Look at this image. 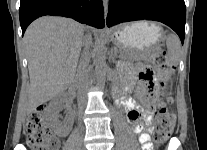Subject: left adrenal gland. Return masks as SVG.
<instances>
[{
  "label": "left adrenal gland",
  "mask_w": 207,
  "mask_h": 150,
  "mask_svg": "<svg viewBox=\"0 0 207 150\" xmlns=\"http://www.w3.org/2000/svg\"><path fill=\"white\" fill-rule=\"evenodd\" d=\"M111 61H112L113 63H116V58H115V56L113 55V53L111 54Z\"/></svg>",
  "instance_id": "a2214340"
}]
</instances>
